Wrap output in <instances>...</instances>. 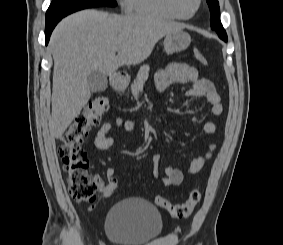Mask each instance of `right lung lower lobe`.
<instances>
[{
  "label": "right lung lower lobe",
  "mask_w": 283,
  "mask_h": 245,
  "mask_svg": "<svg viewBox=\"0 0 283 245\" xmlns=\"http://www.w3.org/2000/svg\"><path fill=\"white\" fill-rule=\"evenodd\" d=\"M62 18L54 19L51 21L46 22V28H45V38H46V44H48L50 35L54 29V27L57 25V23L61 20Z\"/></svg>",
  "instance_id": "right-lung-lower-lobe-1"
}]
</instances>
